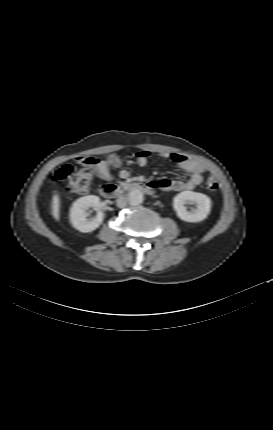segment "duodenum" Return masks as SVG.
<instances>
[{
	"mask_svg": "<svg viewBox=\"0 0 273 430\" xmlns=\"http://www.w3.org/2000/svg\"><path fill=\"white\" fill-rule=\"evenodd\" d=\"M126 191H141L143 193L152 194L154 191V186L152 183L134 182L118 187L112 183H107L100 189L101 195L108 199L115 198Z\"/></svg>",
	"mask_w": 273,
	"mask_h": 430,
	"instance_id": "obj_1",
	"label": "duodenum"
}]
</instances>
